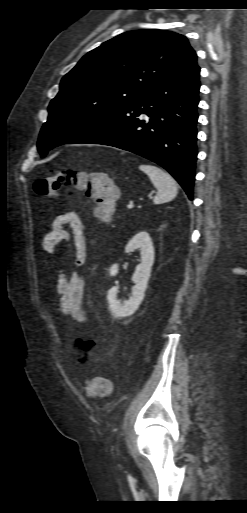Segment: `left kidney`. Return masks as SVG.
Listing matches in <instances>:
<instances>
[{"label":"left kidney","instance_id":"5707ae66","mask_svg":"<svg viewBox=\"0 0 247 513\" xmlns=\"http://www.w3.org/2000/svg\"><path fill=\"white\" fill-rule=\"evenodd\" d=\"M139 250L141 255V263L137 265L132 280L135 286L132 288L131 297L121 302L117 299L118 287H112L108 290L107 300L112 315L116 318L132 315L141 304L147 283L150 278L151 268L154 263V247L150 235L147 232H139L126 245L127 253ZM118 264H114L110 268V275L118 274Z\"/></svg>","mask_w":247,"mask_h":513}]
</instances>
